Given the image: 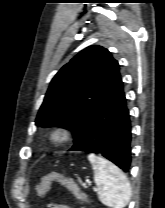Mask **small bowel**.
<instances>
[{
    "label": "small bowel",
    "mask_w": 165,
    "mask_h": 208,
    "mask_svg": "<svg viewBox=\"0 0 165 208\" xmlns=\"http://www.w3.org/2000/svg\"><path fill=\"white\" fill-rule=\"evenodd\" d=\"M50 208H68V207H66L64 205H53Z\"/></svg>",
    "instance_id": "small-bowel-1"
}]
</instances>
